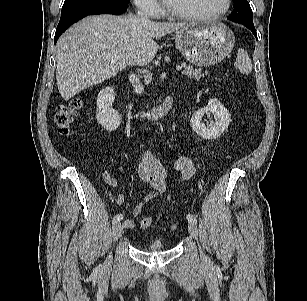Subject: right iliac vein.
<instances>
[{"label": "right iliac vein", "instance_id": "63e3f726", "mask_svg": "<svg viewBox=\"0 0 307 301\" xmlns=\"http://www.w3.org/2000/svg\"><path fill=\"white\" fill-rule=\"evenodd\" d=\"M122 234V226L120 222H117L113 225V229H112V239L113 241H116L119 239V237ZM106 264L107 265H111L112 264V257L111 255L107 258L106 260Z\"/></svg>", "mask_w": 307, "mask_h": 301}]
</instances>
